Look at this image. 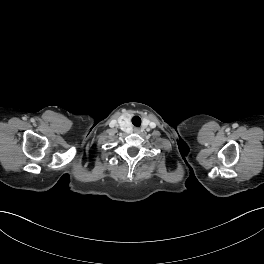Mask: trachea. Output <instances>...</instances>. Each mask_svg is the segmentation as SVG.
<instances>
[{
    "instance_id": "3493384b",
    "label": "trachea",
    "mask_w": 264,
    "mask_h": 264,
    "mask_svg": "<svg viewBox=\"0 0 264 264\" xmlns=\"http://www.w3.org/2000/svg\"><path fill=\"white\" fill-rule=\"evenodd\" d=\"M132 123H133L134 126H137V127L140 126L141 125L140 117L139 116H134L132 118Z\"/></svg>"
}]
</instances>
